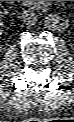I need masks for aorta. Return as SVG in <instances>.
I'll list each match as a JSON object with an SVG mask.
<instances>
[{"mask_svg": "<svg viewBox=\"0 0 74 122\" xmlns=\"http://www.w3.org/2000/svg\"><path fill=\"white\" fill-rule=\"evenodd\" d=\"M45 23L47 25V27L51 28V29H55L58 27V17L56 14H49L46 17Z\"/></svg>", "mask_w": 74, "mask_h": 122, "instance_id": "obj_1", "label": "aorta"}]
</instances>
